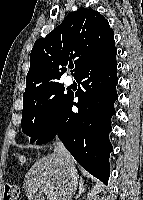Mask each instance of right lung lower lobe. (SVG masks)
Wrapping results in <instances>:
<instances>
[{
    "mask_svg": "<svg viewBox=\"0 0 143 200\" xmlns=\"http://www.w3.org/2000/svg\"><path fill=\"white\" fill-rule=\"evenodd\" d=\"M116 51L115 47L80 71L75 77L82 86L75 94L78 102L69 95L36 140V144H44L58 136L75 160L105 184L110 175L109 153L113 151L110 120L118 98ZM73 105L78 112L72 111Z\"/></svg>",
    "mask_w": 143,
    "mask_h": 200,
    "instance_id": "1",
    "label": "right lung lower lobe"
}]
</instances>
